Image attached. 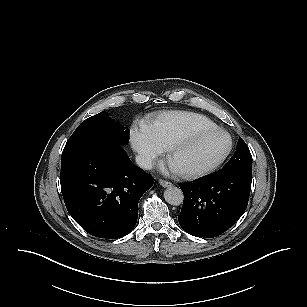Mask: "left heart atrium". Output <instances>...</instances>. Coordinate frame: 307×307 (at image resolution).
<instances>
[{
	"label": "left heart atrium",
	"instance_id": "left-heart-atrium-1",
	"mask_svg": "<svg viewBox=\"0 0 307 307\" xmlns=\"http://www.w3.org/2000/svg\"><path fill=\"white\" fill-rule=\"evenodd\" d=\"M161 170L165 173L168 172H173V173H177L178 171L171 165L170 161L169 162H163L161 164Z\"/></svg>",
	"mask_w": 307,
	"mask_h": 307
}]
</instances>
